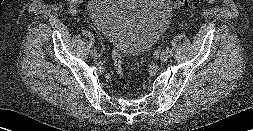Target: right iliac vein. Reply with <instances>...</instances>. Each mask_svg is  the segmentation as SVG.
<instances>
[{
	"label": "right iliac vein",
	"mask_w": 253,
	"mask_h": 131,
	"mask_svg": "<svg viewBox=\"0 0 253 131\" xmlns=\"http://www.w3.org/2000/svg\"><path fill=\"white\" fill-rule=\"evenodd\" d=\"M91 55L94 56V57H98V52L97 51H94V50H91Z\"/></svg>",
	"instance_id": "1"
}]
</instances>
